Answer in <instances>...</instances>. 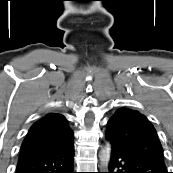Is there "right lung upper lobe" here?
Returning a JSON list of instances; mask_svg holds the SVG:
<instances>
[{
	"label": "right lung upper lobe",
	"instance_id": "cb5924a9",
	"mask_svg": "<svg viewBox=\"0 0 173 173\" xmlns=\"http://www.w3.org/2000/svg\"><path fill=\"white\" fill-rule=\"evenodd\" d=\"M73 145V132L64 116L49 113L35 122L26 135L19 159L58 151Z\"/></svg>",
	"mask_w": 173,
	"mask_h": 173
}]
</instances>
